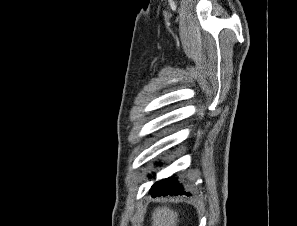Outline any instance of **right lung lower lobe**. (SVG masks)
<instances>
[{"mask_svg": "<svg viewBox=\"0 0 297 226\" xmlns=\"http://www.w3.org/2000/svg\"><path fill=\"white\" fill-rule=\"evenodd\" d=\"M150 194L155 196H165V195H190L183 191V187L179 184L177 179L170 177L168 179H162L160 182H156L152 188Z\"/></svg>", "mask_w": 297, "mask_h": 226, "instance_id": "obj_1", "label": "right lung lower lobe"}]
</instances>
